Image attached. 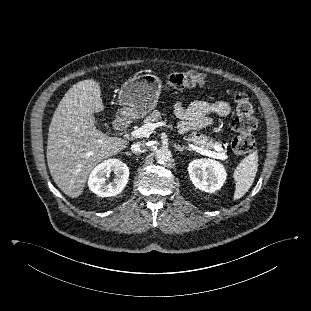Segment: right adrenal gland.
<instances>
[{
  "mask_svg": "<svg viewBox=\"0 0 311 311\" xmlns=\"http://www.w3.org/2000/svg\"><path fill=\"white\" fill-rule=\"evenodd\" d=\"M126 154H127V155H131V153H128V152H127Z\"/></svg>",
  "mask_w": 311,
  "mask_h": 311,
  "instance_id": "obj_1",
  "label": "right adrenal gland"
}]
</instances>
